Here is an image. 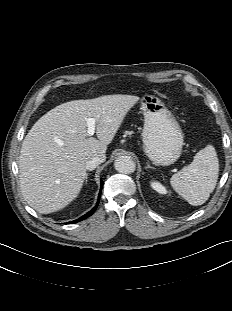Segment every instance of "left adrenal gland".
<instances>
[{
  "label": "left adrenal gland",
  "mask_w": 232,
  "mask_h": 311,
  "mask_svg": "<svg viewBox=\"0 0 232 311\" xmlns=\"http://www.w3.org/2000/svg\"><path fill=\"white\" fill-rule=\"evenodd\" d=\"M146 169L147 168H150V169H154L152 166H150L149 164H147V166L145 167Z\"/></svg>",
  "instance_id": "a2214340"
}]
</instances>
